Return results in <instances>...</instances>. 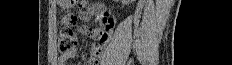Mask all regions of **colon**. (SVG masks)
Wrapping results in <instances>:
<instances>
[{"mask_svg": "<svg viewBox=\"0 0 232 65\" xmlns=\"http://www.w3.org/2000/svg\"><path fill=\"white\" fill-rule=\"evenodd\" d=\"M77 41V35L71 28H63L58 39V47L60 52L64 54L74 50Z\"/></svg>", "mask_w": 232, "mask_h": 65, "instance_id": "obj_1", "label": "colon"}]
</instances>
